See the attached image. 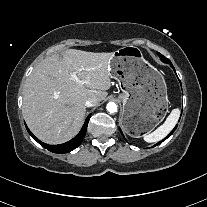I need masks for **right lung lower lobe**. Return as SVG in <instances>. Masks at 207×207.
<instances>
[{
  "mask_svg": "<svg viewBox=\"0 0 207 207\" xmlns=\"http://www.w3.org/2000/svg\"><path fill=\"white\" fill-rule=\"evenodd\" d=\"M89 118H90V115L87 117L81 131L72 140H70L67 143L61 144V145H47L46 148L48 150H50L52 152H56V153H67V152H70L73 149L77 148L80 145V143L82 142V140L85 136ZM28 132L36 141H39L29 130H28ZM40 144L41 145H46V144H42V143H40Z\"/></svg>",
  "mask_w": 207,
  "mask_h": 207,
  "instance_id": "right-lung-lower-lobe-1",
  "label": "right lung lower lobe"
}]
</instances>
